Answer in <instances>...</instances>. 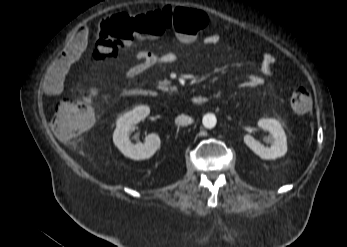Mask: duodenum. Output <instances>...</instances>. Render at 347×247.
Wrapping results in <instances>:
<instances>
[{
  "label": "duodenum",
  "mask_w": 347,
  "mask_h": 247,
  "mask_svg": "<svg viewBox=\"0 0 347 247\" xmlns=\"http://www.w3.org/2000/svg\"><path fill=\"white\" fill-rule=\"evenodd\" d=\"M129 95L133 96H144V97H150L153 98L156 96V93L153 90L149 89H130L128 91ZM208 98L204 95H195L191 99V103L196 106L204 105L207 103Z\"/></svg>",
  "instance_id": "duodenum-1"
}]
</instances>
